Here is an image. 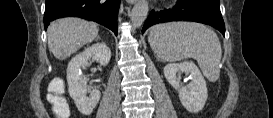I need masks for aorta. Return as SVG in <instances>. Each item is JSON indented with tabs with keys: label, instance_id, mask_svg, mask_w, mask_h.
I'll use <instances>...</instances> for the list:
<instances>
[{
	"label": "aorta",
	"instance_id": "762f6f07",
	"mask_svg": "<svg viewBox=\"0 0 273 118\" xmlns=\"http://www.w3.org/2000/svg\"><path fill=\"white\" fill-rule=\"evenodd\" d=\"M149 5L146 0H138L131 12V22L134 27H140L147 18Z\"/></svg>",
	"mask_w": 273,
	"mask_h": 118
}]
</instances>
